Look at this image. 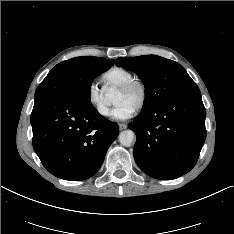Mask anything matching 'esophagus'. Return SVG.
I'll return each mask as SVG.
<instances>
[{"label":"esophagus","instance_id":"obj_1","mask_svg":"<svg viewBox=\"0 0 234 234\" xmlns=\"http://www.w3.org/2000/svg\"><path fill=\"white\" fill-rule=\"evenodd\" d=\"M119 128H120L121 130H124V129L127 128V125H126L125 123H121V124H119Z\"/></svg>","mask_w":234,"mask_h":234}]
</instances>
